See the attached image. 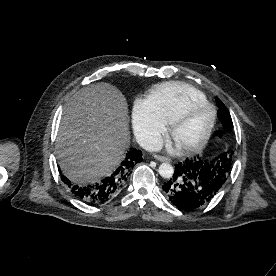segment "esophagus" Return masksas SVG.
Instances as JSON below:
<instances>
[{"label": "esophagus", "mask_w": 276, "mask_h": 276, "mask_svg": "<svg viewBox=\"0 0 276 276\" xmlns=\"http://www.w3.org/2000/svg\"><path fill=\"white\" fill-rule=\"evenodd\" d=\"M154 158L156 160L161 161V162H170L171 161L170 158L165 157V156H161V155H157V154L154 155Z\"/></svg>", "instance_id": "1"}]
</instances>
